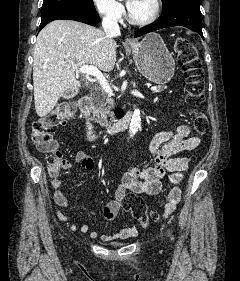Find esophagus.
Returning <instances> with one entry per match:
<instances>
[{"mask_svg": "<svg viewBox=\"0 0 240 281\" xmlns=\"http://www.w3.org/2000/svg\"><path fill=\"white\" fill-rule=\"evenodd\" d=\"M126 45L132 46L134 45V41L131 38H126Z\"/></svg>", "mask_w": 240, "mask_h": 281, "instance_id": "obj_1", "label": "esophagus"}]
</instances>
